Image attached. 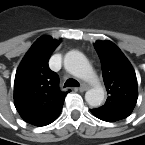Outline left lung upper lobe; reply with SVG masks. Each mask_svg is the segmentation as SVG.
<instances>
[{"instance_id":"left-lung-upper-lobe-1","label":"left lung upper lobe","mask_w":145,"mask_h":145,"mask_svg":"<svg viewBox=\"0 0 145 145\" xmlns=\"http://www.w3.org/2000/svg\"><path fill=\"white\" fill-rule=\"evenodd\" d=\"M94 47L99 55L108 98L103 106L94 109L98 114L121 120L134 109L137 98L135 71L121 52L110 41H97Z\"/></svg>"}]
</instances>
